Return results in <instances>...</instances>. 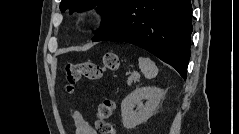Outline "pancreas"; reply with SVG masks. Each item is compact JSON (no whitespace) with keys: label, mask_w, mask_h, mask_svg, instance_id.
<instances>
[{"label":"pancreas","mask_w":239,"mask_h":134,"mask_svg":"<svg viewBox=\"0 0 239 134\" xmlns=\"http://www.w3.org/2000/svg\"><path fill=\"white\" fill-rule=\"evenodd\" d=\"M140 80V75L138 73L136 74H132L128 80H127V84L128 86H131L133 83L139 82Z\"/></svg>","instance_id":"1"}]
</instances>
